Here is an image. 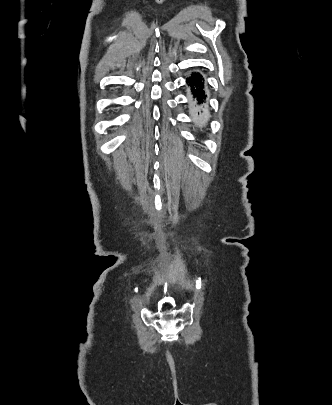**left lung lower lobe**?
Instances as JSON below:
<instances>
[{
    "label": "left lung lower lobe",
    "mask_w": 332,
    "mask_h": 405,
    "mask_svg": "<svg viewBox=\"0 0 332 405\" xmlns=\"http://www.w3.org/2000/svg\"><path fill=\"white\" fill-rule=\"evenodd\" d=\"M186 82L189 84L194 96L193 119L198 127H202L209 119L206 110V89L204 79L199 73L192 74L187 78Z\"/></svg>",
    "instance_id": "1"
}]
</instances>
